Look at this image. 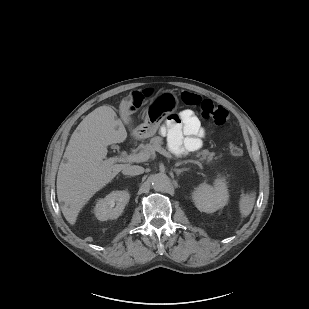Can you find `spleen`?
I'll return each mask as SVG.
<instances>
[{"label":"spleen","instance_id":"obj_1","mask_svg":"<svg viewBox=\"0 0 309 309\" xmlns=\"http://www.w3.org/2000/svg\"><path fill=\"white\" fill-rule=\"evenodd\" d=\"M256 200V192L251 191L250 193L246 194H241L240 199H239V210L241 217H247L255 204Z\"/></svg>","mask_w":309,"mask_h":309}]
</instances>
